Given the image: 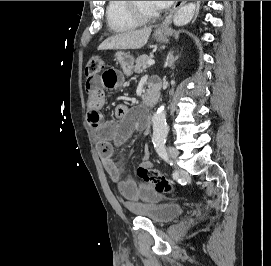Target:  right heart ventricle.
Returning a JSON list of instances; mask_svg holds the SVG:
<instances>
[{"mask_svg": "<svg viewBox=\"0 0 271 266\" xmlns=\"http://www.w3.org/2000/svg\"><path fill=\"white\" fill-rule=\"evenodd\" d=\"M106 20L110 29L118 33L132 31L139 25L128 14L124 1H108Z\"/></svg>", "mask_w": 271, "mask_h": 266, "instance_id": "obj_1", "label": "right heart ventricle"}]
</instances>
